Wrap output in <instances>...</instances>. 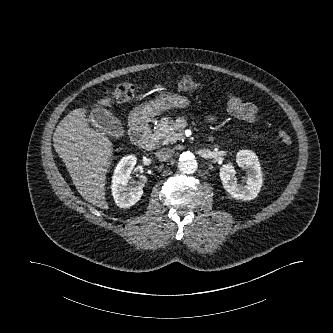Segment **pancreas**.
Listing matches in <instances>:
<instances>
[{
  "instance_id": "pancreas-1",
  "label": "pancreas",
  "mask_w": 333,
  "mask_h": 333,
  "mask_svg": "<svg viewBox=\"0 0 333 333\" xmlns=\"http://www.w3.org/2000/svg\"><path fill=\"white\" fill-rule=\"evenodd\" d=\"M154 134L158 140L171 144L184 138L183 131L169 117L161 119L160 123L155 127Z\"/></svg>"
}]
</instances>
